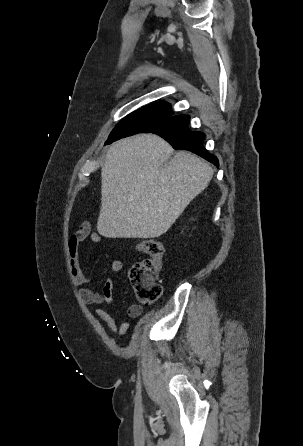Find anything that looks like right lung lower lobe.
I'll return each instance as SVG.
<instances>
[{
    "label": "right lung lower lobe",
    "instance_id": "right-lung-lower-lobe-1",
    "mask_svg": "<svg viewBox=\"0 0 303 446\" xmlns=\"http://www.w3.org/2000/svg\"><path fill=\"white\" fill-rule=\"evenodd\" d=\"M189 119L187 115H170L148 126L141 133H155L168 141L174 149L191 151L218 166L217 157L203 147L205 134L188 129Z\"/></svg>",
    "mask_w": 303,
    "mask_h": 446
}]
</instances>
